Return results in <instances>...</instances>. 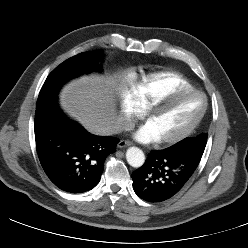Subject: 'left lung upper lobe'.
<instances>
[{
	"instance_id": "5c2ea615",
	"label": "left lung upper lobe",
	"mask_w": 248,
	"mask_h": 248,
	"mask_svg": "<svg viewBox=\"0 0 248 248\" xmlns=\"http://www.w3.org/2000/svg\"><path fill=\"white\" fill-rule=\"evenodd\" d=\"M206 143H207V133H203L195 138L187 137L181 140L180 142L176 143L175 145H173V147L192 148V149L204 151Z\"/></svg>"
}]
</instances>
